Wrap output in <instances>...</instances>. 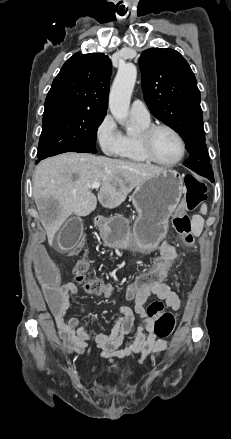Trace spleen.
I'll return each instance as SVG.
<instances>
[{"instance_id":"spleen-1","label":"spleen","mask_w":231,"mask_h":439,"mask_svg":"<svg viewBox=\"0 0 231 439\" xmlns=\"http://www.w3.org/2000/svg\"><path fill=\"white\" fill-rule=\"evenodd\" d=\"M200 212L202 214L207 213V205L202 204ZM204 219L200 215H195L192 218V232L195 236H199L203 230Z\"/></svg>"}]
</instances>
